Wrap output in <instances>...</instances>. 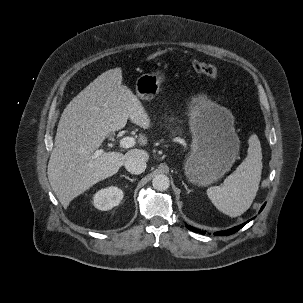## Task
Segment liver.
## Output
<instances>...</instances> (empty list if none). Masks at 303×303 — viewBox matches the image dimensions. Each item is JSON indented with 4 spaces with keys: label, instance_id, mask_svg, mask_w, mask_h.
Returning <instances> with one entry per match:
<instances>
[{
    "label": "liver",
    "instance_id": "6515ba94",
    "mask_svg": "<svg viewBox=\"0 0 303 303\" xmlns=\"http://www.w3.org/2000/svg\"><path fill=\"white\" fill-rule=\"evenodd\" d=\"M144 129L150 118L132 91L122 84L121 68L99 75L64 109L48 164L50 185L64 208L94 184L115 175L131 157L148 160L144 150L127 153L95 151L109 133L125 127L127 120ZM146 137L139 136L141 145Z\"/></svg>",
    "mask_w": 303,
    "mask_h": 303
}]
</instances>
